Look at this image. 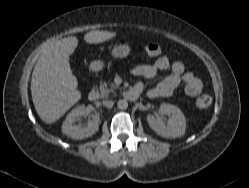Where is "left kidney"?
<instances>
[{
	"mask_svg": "<svg viewBox=\"0 0 249 188\" xmlns=\"http://www.w3.org/2000/svg\"><path fill=\"white\" fill-rule=\"evenodd\" d=\"M160 110L164 114H170L171 118L165 125L159 118L148 115L147 121L150 128L165 138H178L183 136L186 129V119L182 111L178 107L167 103L161 104Z\"/></svg>",
	"mask_w": 249,
	"mask_h": 188,
	"instance_id": "obj_1",
	"label": "left kidney"
}]
</instances>
